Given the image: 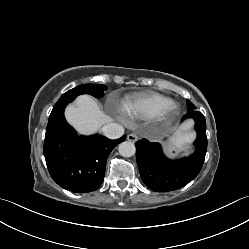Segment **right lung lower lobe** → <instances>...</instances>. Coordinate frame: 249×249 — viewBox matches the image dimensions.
Returning a JSON list of instances; mask_svg holds the SVG:
<instances>
[{
	"instance_id": "obj_1",
	"label": "right lung lower lobe",
	"mask_w": 249,
	"mask_h": 249,
	"mask_svg": "<svg viewBox=\"0 0 249 249\" xmlns=\"http://www.w3.org/2000/svg\"><path fill=\"white\" fill-rule=\"evenodd\" d=\"M65 106L52 110L44 141V156L52 179L66 190L85 193L103 182L106 161L113 148L124 141L105 136H78L66 122Z\"/></svg>"
}]
</instances>
